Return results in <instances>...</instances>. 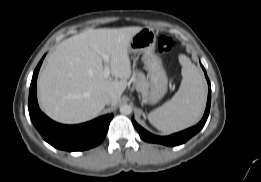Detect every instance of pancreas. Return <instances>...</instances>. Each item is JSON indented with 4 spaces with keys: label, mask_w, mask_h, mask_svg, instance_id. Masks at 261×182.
<instances>
[{
    "label": "pancreas",
    "mask_w": 261,
    "mask_h": 182,
    "mask_svg": "<svg viewBox=\"0 0 261 182\" xmlns=\"http://www.w3.org/2000/svg\"><path fill=\"white\" fill-rule=\"evenodd\" d=\"M132 81L137 91L141 93H146L148 82L142 72H135Z\"/></svg>",
    "instance_id": "cf45deb5"
}]
</instances>
